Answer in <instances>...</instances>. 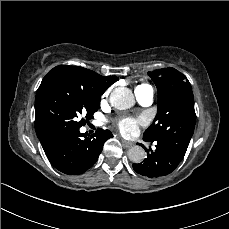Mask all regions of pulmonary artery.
Returning <instances> with one entry per match:
<instances>
[{
	"label": "pulmonary artery",
	"instance_id": "obj_1",
	"mask_svg": "<svg viewBox=\"0 0 229 229\" xmlns=\"http://www.w3.org/2000/svg\"><path fill=\"white\" fill-rule=\"evenodd\" d=\"M137 101L143 106H149L154 100V90L150 85L135 89Z\"/></svg>",
	"mask_w": 229,
	"mask_h": 229
}]
</instances>
